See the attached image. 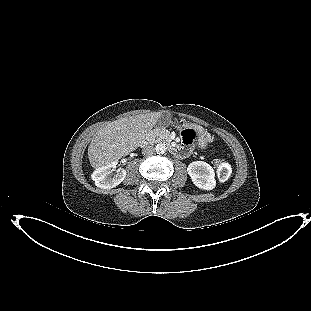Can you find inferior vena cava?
Masks as SVG:
<instances>
[{
    "label": "inferior vena cava",
    "mask_w": 311,
    "mask_h": 311,
    "mask_svg": "<svg viewBox=\"0 0 311 311\" xmlns=\"http://www.w3.org/2000/svg\"><path fill=\"white\" fill-rule=\"evenodd\" d=\"M155 152V148L152 146V145H148V146H145L143 149H142V154L143 155H152L154 154Z\"/></svg>",
    "instance_id": "602c4592"
}]
</instances>
